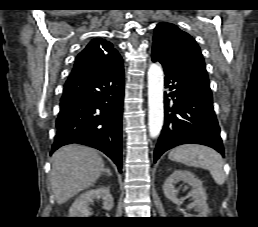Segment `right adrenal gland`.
I'll return each mask as SVG.
<instances>
[{
	"mask_svg": "<svg viewBox=\"0 0 258 227\" xmlns=\"http://www.w3.org/2000/svg\"><path fill=\"white\" fill-rule=\"evenodd\" d=\"M104 172H105L107 175L112 176V173H111V171H110L108 168H106V169L104 170Z\"/></svg>",
	"mask_w": 258,
	"mask_h": 227,
	"instance_id": "1",
	"label": "right adrenal gland"
}]
</instances>
